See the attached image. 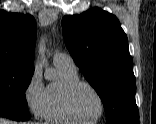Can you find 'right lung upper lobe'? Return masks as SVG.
Returning <instances> with one entry per match:
<instances>
[{"label": "right lung upper lobe", "instance_id": "1", "mask_svg": "<svg viewBox=\"0 0 156 124\" xmlns=\"http://www.w3.org/2000/svg\"><path fill=\"white\" fill-rule=\"evenodd\" d=\"M35 40L33 16L0 10V65L34 69Z\"/></svg>", "mask_w": 156, "mask_h": 124}]
</instances>
